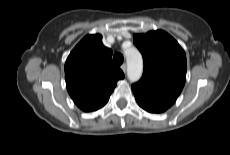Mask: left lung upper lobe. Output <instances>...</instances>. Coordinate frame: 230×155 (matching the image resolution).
<instances>
[{
	"instance_id": "1",
	"label": "left lung upper lobe",
	"mask_w": 230,
	"mask_h": 155,
	"mask_svg": "<svg viewBox=\"0 0 230 155\" xmlns=\"http://www.w3.org/2000/svg\"><path fill=\"white\" fill-rule=\"evenodd\" d=\"M134 44L144 60L143 76L132 85L136 98L171 107L186 80V55L168 33L157 30L135 34Z\"/></svg>"
}]
</instances>
